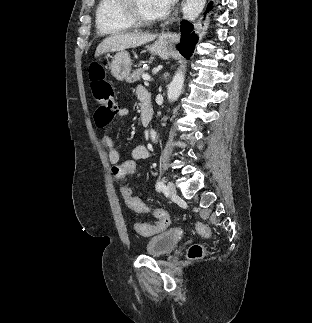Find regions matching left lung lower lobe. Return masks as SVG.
<instances>
[{
  "label": "left lung lower lobe",
  "instance_id": "left-lung-lower-lobe-1",
  "mask_svg": "<svg viewBox=\"0 0 312 323\" xmlns=\"http://www.w3.org/2000/svg\"><path fill=\"white\" fill-rule=\"evenodd\" d=\"M211 5L212 2L209 3V9H212ZM180 31L181 41L177 45V48L184 57L189 58L199 40L197 28L194 27L193 24L183 21L181 22Z\"/></svg>",
  "mask_w": 312,
  "mask_h": 323
}]
</instances>
